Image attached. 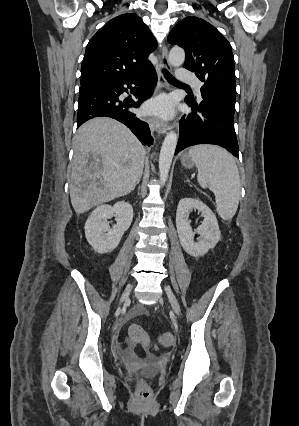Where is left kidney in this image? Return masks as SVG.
Segmentation results:
<instances>
[{
	"label": "left kidney",
	"instance_id": "left-kidney-1",
	"mask_svg": "<svg viewBox=\"0 0 299 426\" xmlns=\"http://www.w3.org/2000/svg\"><path fill=\"white\" fill-rule=\"evenodd\" d=\"M193 210H198L204 217V221L195 232L190 227L189 215ZM176 227L181 246L191 256L205 255L218 243L221 233L217 218L211 209L199 199L183 198L179 201L176 212ZM198 233L200 238L194 242V235Z\"/></svg>",
	"mask_w": 299,
	"mask_h": 426
}]
</instances>
